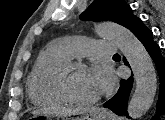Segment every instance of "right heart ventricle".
<instances>
[{"label":"right heart ventricle","instance_id":"right-heart-ventricle-1","mask_svg":"<svg viewBox=\"0 0 165 120\" xmlns=\"http://www.w3.org/2000/svg\"><path fill=\"white\" fill-rule=\"evenodd\" d=\"M69 60L55 47H49L39 56L28 78V93L34 104L43 106L66 102L57 89V78Z\"/></svg>","mask_w":165,"mask_h":120}]
</instances>
